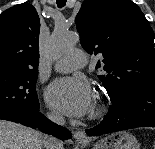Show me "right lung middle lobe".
<instances>
[{"instance_id":"1","label":"right lung middle lobe","mask_w":155,"mask_h":149,"mask_svg":"<svg viewBox=\"0 0 155 149\" xmlns=\"http://www.w3.org/2000/svg\"><path fill=\"white\" fill-rule=\"evenodd\" d=\"M37 71L0 69V115L26 119L39 109Z\"/></svg>"}]
</instances>
